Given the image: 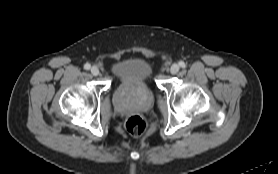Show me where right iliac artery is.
Returning a JSON list of instances; mask_svg holds the SVG:
<instances>
[{
	"label": "right iliac artery",
	"instance_id": "1",
	"mask_svg": "<svg viewBox=\"0 0 278 174\" xmlns=\"http://www.w3.org/2000/svg\"><path fill=\"white\" fill-rule=\"evenodd\" d=\"M91 68V65L89 63H86L84 65V69L89 70Z\"/></svg>",
	"mask_w": 278,
	"mask_h": 174
}]
</instances>
